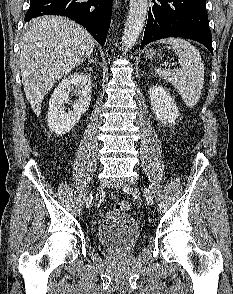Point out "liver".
Returning <instances> with one entry per match:
<instances>
[{
	"label": "liver",
	"mask_w": 233,
	"mask_h": 294,
	"mask_svg": "<svg viewBox=\"0 0 233 294\" xmlns=\"http://www.w3.org/2000/svg\"><path fill=\"white\" fill-rule=\"evenodd\" d=\"M94 48L93 37L69 19L46 15L31 22L19 56L25 95L37 116L54 83L90 57Z\"/></svg>",
	"instance_id": "obj_1"
}]
</instances>
